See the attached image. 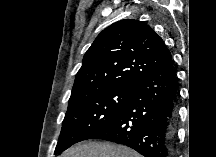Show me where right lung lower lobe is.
<instances>
[{
	"mask_svg": "<svg viewBox=\"0 0 216 157\" xmlns=\"http://www.w3.org/2000/svg\"><path fill=\"white\" fill-rule=\"evenodd\" d=\"M177 85L173 61L132 86L124 109L90 139L133 148L144 157H172Z\"/></svg>",
	"mask_w": 216,
	"mask_h": 157,
	"instance_id": "obj_1",
	"label": "right lung lower lobe"
}]
</instances>
